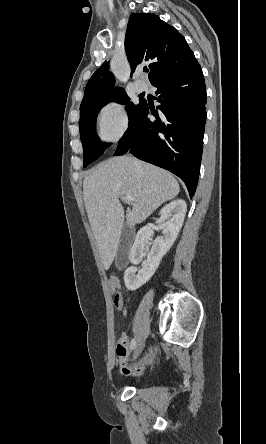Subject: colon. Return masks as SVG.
<instances>
[{"mask_svg": "<svg viewBox=\"0 0 266 444\" xmlns=\"http://www.w3.org/2000/svg\"><path fill=\"white\" fill-rule=\"evenodd\" d=\"M114 304L116 307L121 308L123 306V299L121 294L116 291L115 296H114Z\"/></svg>", "mask_w": 266, "mask_h": 444, "instance_id": "colon-1", "label": "colon"}]
</instances>
